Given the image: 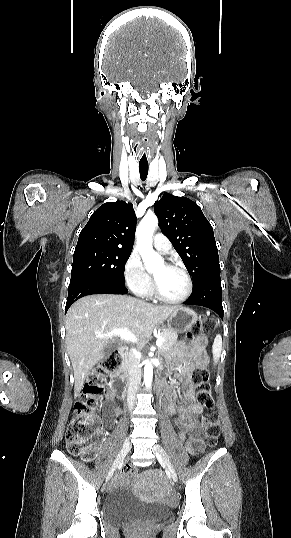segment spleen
<instances>
[{"label":"spleen","mask_w":291,"mask_h":538,"mask_svg":"<svg viewBox=\"0 0 291 538\" xmlns=\"http://www.w3.org/2000/svg\"><path fill=\"white\" fill-rule=\"evenodd\" d=\"M222 351V337L220 334L216 335L213 345H212V353H213V360L214 363H217Z\"/></svg>","instance_id":"3e777b00"}]
</instances>
